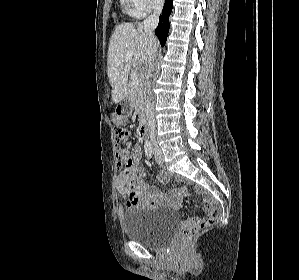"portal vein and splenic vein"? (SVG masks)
<instances>
[{
    "mask_svg": "<svg viewBox=\"0 0 299 280\" xmlns=\"http://www.w3.org/2000/svg\"><path fill=\"white\" fill-rule=\"evenodd\" d=\"M132 56H133V51H129L126 54V59L127 60L130 59V58H132ZM131 79H132V85H133V87H135V88L139 87L140 81H139V78L137 77V75L135 73H133L131 75Z\"/></svg>",
    "mask_w": 299,
    "mask_h": 280,
    "instance_id": "1",
    "label": "portal vein and splenic vein"
}]
</instances>
